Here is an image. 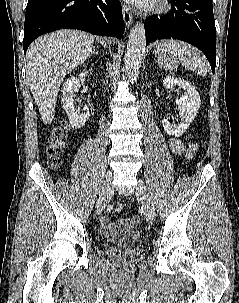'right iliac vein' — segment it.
<instances>
[{"label":"right iliac vein","mask_w":239,"mask_h":303,"mask_svg":"<svg viewBox=\"0 0 239 303\" xmlns=\"http://www.w3.org/2000/svg\"><path fill=\"white\" fill-rule=\"evenodd\" d=\"M111 183H112V174L107 172L103 185L101 187V191L99 193V197L96 202V213L101 214L106 208L108 201L111 196Z\"/></svg>","instance_id":"right-iliac-vein-1"}]
</instances>
